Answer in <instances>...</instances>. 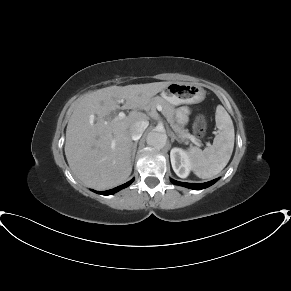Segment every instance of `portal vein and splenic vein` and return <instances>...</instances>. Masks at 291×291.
<instances>
[{
	"instance_id": "1",
	"label": "portal vein and splenic vein",
	"mask_w": 291,
	"mask_h": 291,
	"mask_svg": "<svg viewBox=\"0 0 291 291\" xmlns=\"http://www.w3.org/2000/svg\"><path fill=\"white\" fill-rule=\"evenodd\" d=\"M156 108H157L158 111H162V107H161L160 105H157ZM117 117H118V119H122V118L125 117V113H124V112H119V114H118ZM188 138H189L193 143L197 144V142H196V138H195L193 135H189Z\"/></svg>"
}]
</instances>
